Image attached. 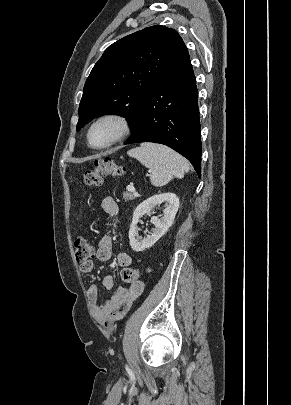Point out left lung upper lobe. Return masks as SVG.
Masks as SVG:
<instances>
[{
  "instance_id": "1",
  "label": "left lung upper lobe",
  "mask_w": 291,
  "mask_h": 405,
  "mask_svg": "<svg viewBox=\"0 0 291 405\" xmlns=\"http://www.w3.org/2000/svg\"><path fill=\"white\" fill-rule=\"evenodd\" d=\"M184 46L176 30L159 25L110 45L86 80L77 131L104 114L127 117L134 130L147 93Z\"/></svg>"
}]
</instances>
